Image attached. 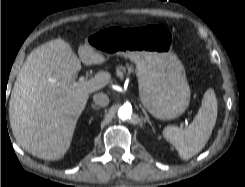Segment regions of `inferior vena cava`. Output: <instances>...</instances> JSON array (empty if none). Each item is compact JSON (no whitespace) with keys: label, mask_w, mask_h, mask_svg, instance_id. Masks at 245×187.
I'll return each mask as SVG.
<instances>
[{"label":"inferior vena cava","mask_w":245,"mask_h":187,"mask_svg":"<svg viewBox=\"0 0 245 187\" xmlns=\"http://www.w3.org/2000/svg\"><path fill=\"white\" fill-rule=\"evenodd\" d=\"M94 103L99 107H105L109 104V97L104 93H97L93 96Z\"/></svg>","instance_id":"1"}]
</instances>
